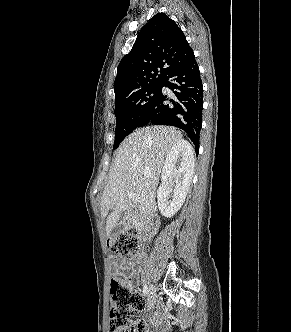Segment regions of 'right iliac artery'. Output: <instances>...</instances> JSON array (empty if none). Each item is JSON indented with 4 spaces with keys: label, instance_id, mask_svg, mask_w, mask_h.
Listing matches in <instances>:
<instances>
[{
    "label": "right iliac artery",
    "instance_id": "82829eb1",
    "mask_svg": "<svg viewBox=\"0 0 291 332\" xmlns=\"http://www.w3.org/2000/svg\"><path fill=\"white\" fill-rule=\"evenodd\" d=\"M148 292H149L148 286L145 284L143 287V293H144V295H147Z\"/></svg>",
    "mask_w": 291,
    "mask_h": 332
}]
</instances>
